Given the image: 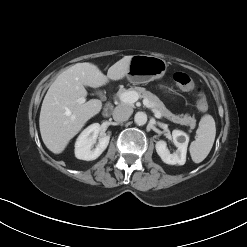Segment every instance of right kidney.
<instances>
[{"label": "right kidney", "mask_w": 247, "mask_h": 247, "mask_svg": "<svg viewBox=\"0 0 247 247\" xmlns=\"http://www.w3.org/2000/svg\"><path fill=\"white\" fill-rule=\"evenodd\" d=\"M100 124L94 123L84 129L78 136L75 143V156L78 159L91 161L97 159L107 148L110 137L101 135ZM98 138V144L93 148Z\"/></svg>", "instance_id": "1"}]
</instances>
